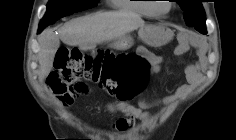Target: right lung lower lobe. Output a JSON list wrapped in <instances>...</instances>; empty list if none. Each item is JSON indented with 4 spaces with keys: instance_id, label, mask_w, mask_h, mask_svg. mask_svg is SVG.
Returning <instances> with one entry per match:
<instances>
[{
    "instance_id": "obj_1",
    "label": "right lung lower lobe",
    "mask_w": 236,
    "mask_h": 140,
    "mask_svg": "<svg viewBox=\"0 0 236 140\" xmlns=\"http://www.w3.org/2000/svg\"><path fill=\"white\" fill-rule=\"evenodd\" d=\"M42 30H43V29L39 28V29H38V33H40Z\"/></svg>"
}]
</instances>
